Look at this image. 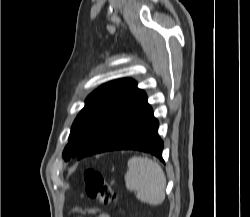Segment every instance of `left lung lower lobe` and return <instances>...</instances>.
Wrapping results in <instances>:
<instances>
[{
    "label": "left lung lower lobe",
    "mask_w": 250,
    "mask_h": 217,
    "mask_svg": "<svg viewBox=\"0 0 250 217\" xmlns=\"http://www.w3.org/2000/svg\"><path fill=\"white\" fill-rule=\"evenodd\" d=\"M159 123L147 96L136 89L110 118L78 159L112 150H139L162 159L163 141L157 134Z\"/></svg>",
    "instance_id": "obj_1"
}]
</instances>
